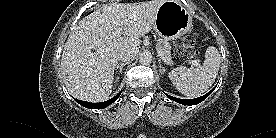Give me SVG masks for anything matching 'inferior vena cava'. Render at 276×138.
<instances>
[{"instance_id": "1", "label": "inferior vena cava", "mask_w": 276, "mask_h": 138, "mask_svg": "<svg viewBox=\"0 0 276 138\" xmlns=\"http://www.w3.org/2000/svg\"><path fill=\"white\" fill-rule=\"evenodd\" d=\"M137 53L138 48L125 49L118 54V59L125 63H130L135 59Z\"/></svg>"}]
</instances>
